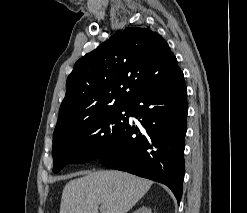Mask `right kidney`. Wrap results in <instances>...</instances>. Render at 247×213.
I'll use <instances>...</instances> for the list:
<instances>
[{
    "mask_svg": "<svg viewBox=\"0 0 247 213\" xmlns=\"http://www.w3.org/2000/svg\"><path fill=\"white\" fill-rule=\"evenodd\" d=\"M133 213H152L151 208H148L146 206H141L137 210H135Z\"/></svg>",
    "mask_w": 247,
    "mask_h": 213,
    "instance_id": "ca27d5eb",
    "label": "right kidney"
}]
</instances>
